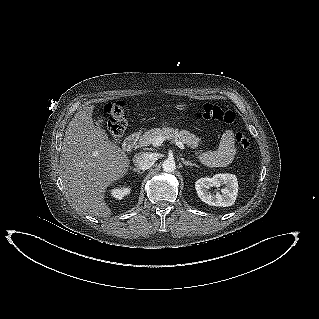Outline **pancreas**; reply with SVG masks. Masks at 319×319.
Returning <instances> with one entry per match:
<instances>
[{
  "mask_svg": "<svg viewBox=\"0 0 319 319\" xmlns=\"http://www.w3.org/2000/svg\"><path fill=\"white\" fill-rule=\"evenodd\" d=\"M155 137H163L165 139H172L175 141H180L183 144H186L191 149H197L199 144L201 143V139L196 137L194 134L190 133L187 130H181L164 127L154 128L149 131H146L139 139V146H148L153 144V140Z\"/></svg>",
  "mask_w": 319,
  "mask_h": 319,
  "instance_id": "1",
  "label": "pancreas"
}]
</instances>
